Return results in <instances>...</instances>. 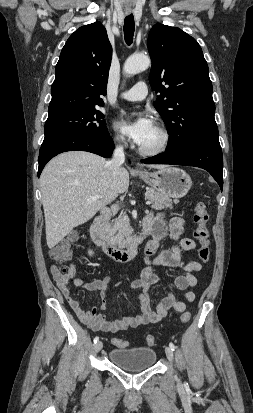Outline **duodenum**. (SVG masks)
Returning <instances> with one entry per match:
<instances>
[{"label": "duodenum", "instance_id": "obj_1", "mask_svg": "<svg viewBox=\"0 0 253 413\" xmlns=\"http://www.w3.org/2000/svg\"><path fill=\"white\" fill-rule=\"evenodd\" d=\"M110 216L111 211L109 208L101 209L90 226L91 237L95 244L100 246L103 252L113 260L122 263L129 262L137 255L138 247L144 238L150 234V226L148 223L143 222L142 231L132 238L127 248L123 249L116 246L105 231V224Z\"/></svg>", "mask_w": 253, "mask_h": 413}]
</instances>
